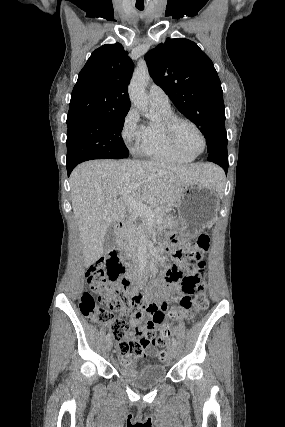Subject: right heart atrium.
Returning a JSON list of instances; mask_svg holds the SVG:
<instances>
[{"label":"right heart atrium","mask_w":285,"mask_h":427,"mask_svg":"<svg viewBox=\"0 0 285 427\" xmlns=\"http://www.w3.org/2000/svg\"><path fill=\"white\" fill-rule=\"evenodd\" d=\"M122 138L132 152H137L143 135V125L140 124V116L136 109L131 108L125 116Z\"/></svg>","instance_id":"right-heart-atrium-1"}]
</instances>
